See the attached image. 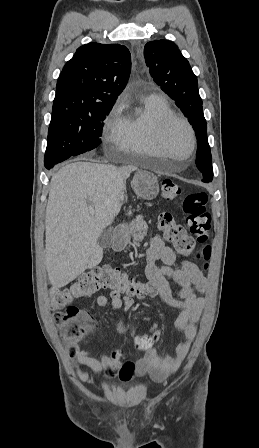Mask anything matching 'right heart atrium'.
Instances as JSON below:
<instances>
[{"label": "right heart atrium", "instance_id": "right-heart-atrium-1", "mask_svg": "<svg viewBox=\"0 0 259 448\" xmlns=\"http://www.w3.org/2000/svg\"><path fill=\"white\" fill-rule=\"evenodd\" d=\"M119 106V101H116L101 129V144L106 150L124 149V136L116 121V114L119 110Z\"/></svg>", "mask_w": 259, "mask_h": 448}]
</instances>
